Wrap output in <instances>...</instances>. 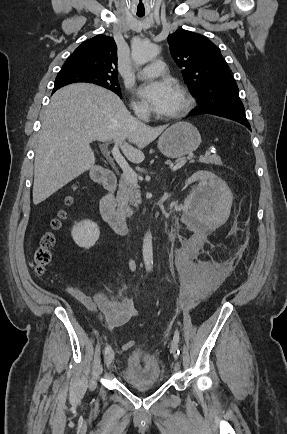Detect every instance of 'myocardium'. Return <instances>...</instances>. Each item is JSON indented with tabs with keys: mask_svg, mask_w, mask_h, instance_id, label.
<instances>
[{
	"mask_svg": "<svg viewBox=\"0 0 287 434\" xmlns=\"http://www.w3.org/2000/svg\"><path fill=\"white\" fill-rule=\"evenodd\" d=\"M177 90L183 99V105L178 111L166 114L164 117L167 119H180L188 114L193 107L194 100L190 92L182 85H177Z\"/></svg>",
	"mask_w": 287,
	"mask_h": 434,
	"instance_id": "obj_1",
	"label": "myocardium"
}]
</instances>
